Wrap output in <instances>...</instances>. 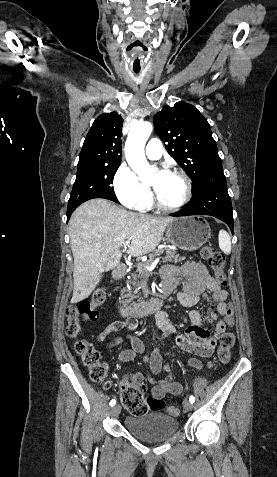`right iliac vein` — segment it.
<instances>
[{"label":"right iliac vein","mask_w":277,"mask_h":477,"mask_svg":"<svg viewBox=\"0 0 277 477\" xmlns=\"http://www.w3.org/2000/svg\"><path fill=\"white\" fill-rule=\"evenodd\" d=\"M120 411H121L120 405H115L111 409V414L112 415H118L120 413Z\"/></svg>","instance_id":"1"}]
</instances>
